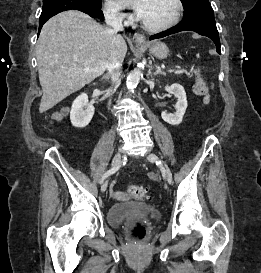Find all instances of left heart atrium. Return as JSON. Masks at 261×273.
<instances>
[{
	"mask_svg": "<svg viewBox=\"0 0 261 273\" xmlns=\"http://www.w3.org/2000/svg\"><path fill=\"white\" fill-rule=\"evenodd\" d=\"M148 0H125L131 6L139 19L143 17Z\"/></svg>",
	"mask_w": 261,
	"mask_h": 273,
	"instance_id": "1",
	"label": "left heart atrium"
}]
</instances>
